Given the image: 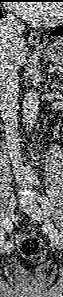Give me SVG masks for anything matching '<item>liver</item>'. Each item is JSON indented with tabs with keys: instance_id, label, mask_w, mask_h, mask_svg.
Wrapping results in <instances>:
<instances>
[{
	"instance_id": "1",
	"label": "liver",
	"mask_w": 63,
	"mask_h": 297,
	"mask_svg": "<svg viewBox=\"0 0 63 297\" xmlns=\"http://www.w3.org/2000/svg\"><path fill=\"white\" fill-rule=\"evenodd\" d=\"M28 54L29 49L24 41L14 45L8 38L2 37L0 33V65L2 60H13V65L18 69L26 63Z\"/></svg>"
}]
</instances>
